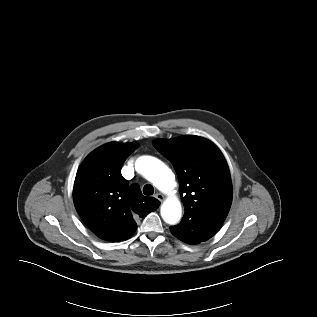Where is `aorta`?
<instances>
[{
	"label": "aorta",
	"instance_id": "aorta-1",
	"mask_svg": "<svg viewBox=\"0 0 317 317\" xmlns=\"http://www.w3.org/2000/svg\"><path fill=\"white\" fill-rule=\"evenodd\" d=\"M139 173L151 181L163 193H169L176 187L175 177L171 169L160 159L146 155L137 160ZM161 217L170 224H176L182 215V207L178 198L168 197L161 206Z\"/></svg>",
	"mask_w": 317,
	"mask_h": 317
}]
</instances>
